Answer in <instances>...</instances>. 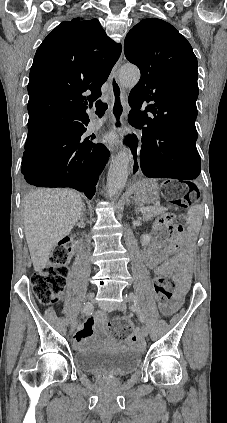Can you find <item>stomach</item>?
Wrapping results in <instances>:
<instances>
[{
    "label": "stomach",
    "mask_w": 227,
    "mask_h": 423,
    "mask_svg": "<svg viewBox=\"0 0 227 423\" xmlns=\"http://www.w3.org/2000/svg\"><path fill=\"white\" fill-rule=\"evenodd\" d=\"M133 194L142 204H155L159 200L158 184L154 180H140L133 184Z\"/></svg>",
    "instance_id": "stomach-1"
}]
</instances>
